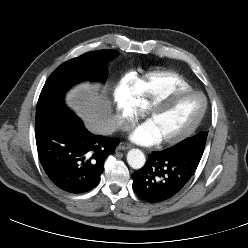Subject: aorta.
<instances>
[{"mask_svg":"<svg viewBox=\"0 0 248 248\" xmlns=\"http://www.w3.org/2000/svg\"><path fill=\"white\" fill-rule=\"evenodd\" d=\"M145 155L139 149H131L127 153V162L133 169H141L145 164Z\"/></svg>","mask_w":248,"mask_h":248,"instance_id":"aorta-1","label":"aorta"}]
</instances>
